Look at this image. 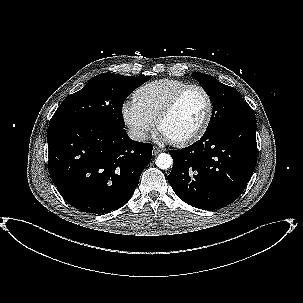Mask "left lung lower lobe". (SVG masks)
<instances>
[{
	"label": "left lung lower lobe",
	"instance_id": "obj_1",
	"mask_svg": "<svg viewBox=\"0 0 303 303\" xmlns=\"http://www.w3.org/2000/svg\"><path fill=\"white\" fill-rule=\"evenodd\" d=\"M168 182L185 203L218 209L244 191L257 161L256 120L232 123L205 132L182 150H170Z\"/></svg>",
	"mask_w": 303,
	"mask_h": 303
}]
</instances>
